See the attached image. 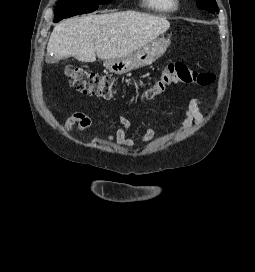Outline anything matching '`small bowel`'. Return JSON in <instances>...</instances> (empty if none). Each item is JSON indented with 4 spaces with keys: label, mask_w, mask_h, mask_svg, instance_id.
Here are the masks:
<instances>
[{
    "label": "small bowel",
    "mask_w": 255,
    "mask_h": 272,
    "mask_svg": "<svg viewBox=\"0 0 255 272\" xmlns=\"http://www.w3.org/2000/svg\"><path fill=\"white\" fill-rule=\"evenodd\" d=\"M202 118L203 115L199 110L197 101L195 99H191L184 107L182 129H187L192 124L200 123ZM117 120L119 128L114 135L108 136V140L110 142H116L117 144L125 147H134L137 140L151 141L155 137V130L152 126L148 127L145 132L137 138L127 136V131L131 127L130 120L125 116H119ZM65 125L68 130L75 127L76 131L81 132L89 128L91 125V118L83 112H76L66 120Z\"/></svg>",
    "instance_id": "c3829d8e"
}]
</instances>
